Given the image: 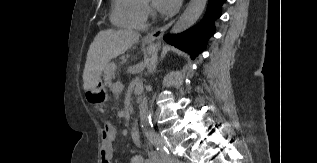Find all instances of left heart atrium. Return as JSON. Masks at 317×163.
<instances>
[{
    "label": "left heart atrium",
    "mask_w": 317,
    "mask_h": 163,
    "mask_svg": "<svg viewBox=\"0 0 317 163\" xmlns=\"http://www.w3.org/2000/svg\"><path fill=\"white\" fill-rule=\"evenodd\" d=\"M180 2L181 0H153V6L158 13L168 15L177 10Z\"/></svg>",
    "instance_id": "left-heart-atrium-1"
}]
</instances>
